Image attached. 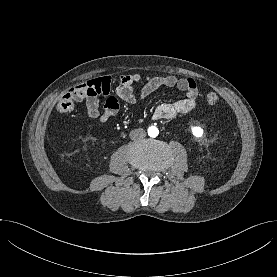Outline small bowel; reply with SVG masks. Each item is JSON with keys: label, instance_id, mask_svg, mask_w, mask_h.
I'll return each mask as SVG.
<instances>
[{"label": "small bowel", "instance_id": "small-bowel-1", "mask_svg": "<svg viewBox=\"0 0 277 277\" xmlns=\"http://www.w3.org/2000/svg\"><path fill=\"white\" fill-rule=\"evenodd\" d=\"M138 83H143V87L138 94H135L134 87ZM113 84L114 80L110 76L94 78L84 84L86 91L79 100L85 101L89 118L105 123L117 114L119 110L118 99L110 94ZM163 86L177 88L185 94V98L173 103L159 104L153 112V119L170 120L179 114L191 111L195 107L198 88L191 78H178L173 75L142 76L137 73L125 74L120 77L115 92L121 100L135 105Z\"/></svg>", "mask_w": 277, "mask_h": 277}]
</instances>
